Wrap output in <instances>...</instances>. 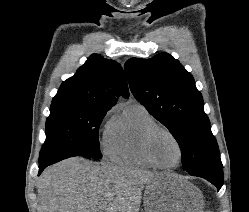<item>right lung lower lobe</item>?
Here are the masks:
<instances>
[{
  "instance_id": "right-lung-lower-lobe-1",
  "label": "right lung lower lobe",
  "mask_w": 249,
  "mask_h": 212,
  "mask_svg": "<svg viewBox=\"0 0 249 212\" xmlns=\"http://www.w3.org/2000/svg\"><path fill=\"white\" fill-rule=\"evenodd\" d=\"M60 161L59 159H51V160H44V161H39V175L41 172L49 165L54 164L56 162Z\"/></svg>"
}]
</instances>
